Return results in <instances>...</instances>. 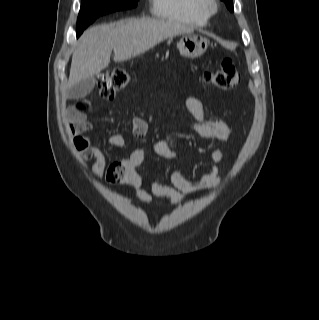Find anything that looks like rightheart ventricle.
I'll list each match as a JSON object with an SVG mask.
<instances>
[{
  "label": "right heart ventricle",
  "mask_w": 319,
  "mask_h": 320,
  "mask_svg": "<svg viewBox=\"0 0 319 320\" xmlns=\"http://www.w3.org/2000/svg\"><path fill=\"white\" fill-rule=\"evenodd\" d=\"M152 14L194 27L205 26L209 16L203 8V0H151Z\"/></svg>",
  "instance_id": "e07e8e85"
}]
</instances>
